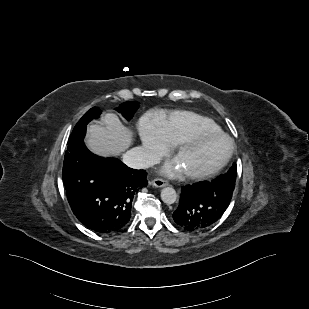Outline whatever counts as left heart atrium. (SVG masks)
<instances>
[{"mask_svg": "<svg viewBox=\"0 0 309 309\" xmlns=\"http://www.w3.org/2000/svg\"><path fill=\"white\" fill-rule=\"evenodd\" d=\"M163 172L170 176H177L182 173V169L176 160L170 161L163 167Z\"/></svg>", "mask_w": 309, "mask_h": 309, "instance_id": "left-heart-atrium-1", "label": "left heart atrium"}]
</instances>
